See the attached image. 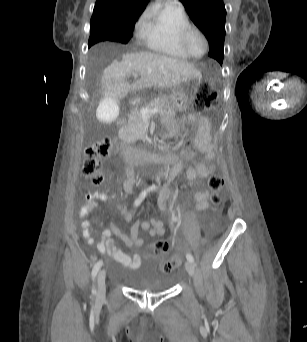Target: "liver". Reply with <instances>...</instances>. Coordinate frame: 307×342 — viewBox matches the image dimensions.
<instances>
[{"mask_svg":"<svg viewBox=\"0 0 307 342\" xmlns=\"http://www.w3.org/2000/svg\"><path fill=\"white\" fill-rule=\"evenodd\" d=\"M139 74L133 84L127 82L130 76ZM199 72L193 64L169 58L152 52H135L115 56L114 62L103 72L102 82L106 95H120L126 98L128 92L143 88H176L189 78H197Z\"/></svg>","mask_w":307,"mask_h":342,"instance_id":"liver-1","label":"liver"}]
</instances>
